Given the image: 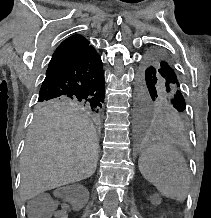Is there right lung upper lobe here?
Instances as JSON below:
<instances>
[{"label":"right lung upper lobe","instance_id":"right-lung-upper-lobe-1","mask_svg":"<svg viewBox=\"0 0 211 218\" xmlns=\"http://www.w3.org/2000/svg\"><path fill=\"white\" fill-rule=\"evenodd\" d=\"M95 51L89 41L79 35L64 40L54 52L49 65Z\"/></svg>","mask_w":211,"mask_h":218}]
</instances>
